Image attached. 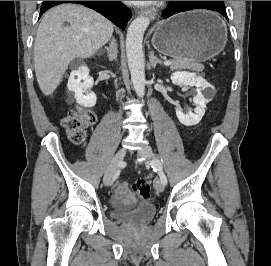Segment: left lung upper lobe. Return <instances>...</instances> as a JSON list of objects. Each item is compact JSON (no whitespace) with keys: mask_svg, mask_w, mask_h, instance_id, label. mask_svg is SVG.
<instances>
[{"mask_svg":"<svg viewBox=\"0 0 271 266\" xmlns=\"http://www.w3.org/2000/svg\"><path fill=\"white\" fill-rule=\"evenodd\" d=\"M204 4H208V5H214L216 7L219 8H223L225 9V4L223 1H202Z\"/></svg>","mask_w":271,"mask_h":266,"instance_id":"1","label":"left lung upper lobe"}]
</instances>
